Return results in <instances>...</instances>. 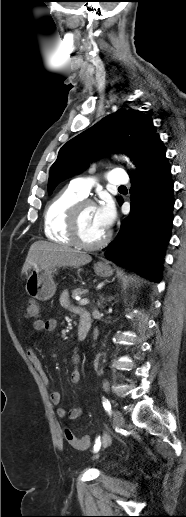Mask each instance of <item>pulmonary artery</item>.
Returning a JSON list of instances; mask_svg holds the SVG:
<instances>
[{
	"label": "pulmonary artery",
	"instance_id": "e3ab8cb5",
	"mask_svg": "<svg viewBox=\"0 0 186 517\" xmlns=\"http://www.w3.org/2000/svg\"><path fill=\"white\" fill-rule=\"evenodd\" d=\"M107 181L112 185H125L128 183L129 178L124 169H112L107 175ZM92 183V180L89 178L79 177L73 179L70 182V186L83 197H86L91 190Z\"/></svg>",
	"mask_w": 186,
	"mask_h": 517
}]
</instances>
